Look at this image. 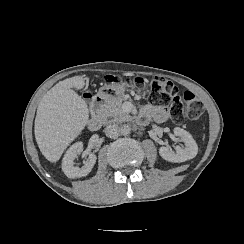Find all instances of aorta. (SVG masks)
Masks as SVG:
<instances>
[{"label": "aorta", "mask_w": 244, "mask_h": 244, "mask_svg": "<svg viewBox=\"0 0 244 244\" xmlns=\"http://www.w3.org/2000/svg\"><path fill=\"white\" fill-rule=\"evenodd\" d=\"M130 132H131V128L129 125L124 124L120 127V133L122 135L127 136L130 134Z\"/></svg>", "instance_id": "aorta-1"}]
</instances>
